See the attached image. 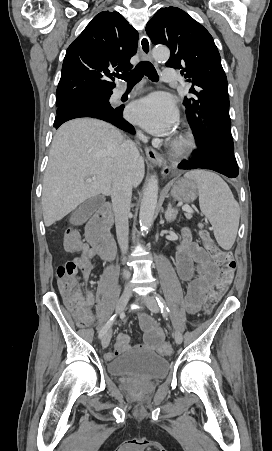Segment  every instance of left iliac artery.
I'll use <instances>...</instances> for the list:
<instances>
[{
    "label": "left iliac artery",
    "instance_id": "left-iliac-artery-1",
    "mask_svg": "<svg viewBox=\"0 0 272 451\" xmlns=\"http://www.w3.org/2000/svg\"><path fill=\"white\" fill-rule=\"evenodd\" d=\"M155 298L158 302L159 307L161 308V312L164 314H168L170 311H169V308H168L165 300L162 298V296L155 293Z\"/></svg>",
    "mask_w": 272,
    "mask_h": 451
}]
</instances>
